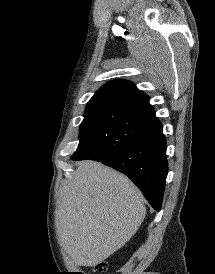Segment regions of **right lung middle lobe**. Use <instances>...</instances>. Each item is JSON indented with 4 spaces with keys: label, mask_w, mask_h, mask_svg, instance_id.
I'll return each instance as SVG.
<instances>
[{
    "label": "right lung middle lobe",
    "mask_w": 215,
    "mask_h": 274,
    "mask_svg": "<svg viewBox=\"0 0 215 274\" xmlns=\"http://www.w3.org/2000/svg\"><path fill=\"white\" fill-rule=\"evenodd\" d=\"M157 120L145 112L115 102H89L80 125V143L72 160L112 157Z\"/></svg>",
    "instance_id": "right-lung-middle-lobe-1"
}]
</instances>
